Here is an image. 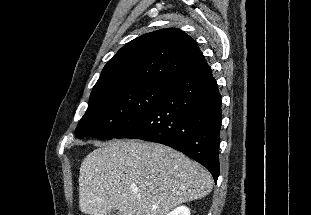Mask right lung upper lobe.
I'll list each match as a JSON object with an SVG mask.
<instances>
[{
	"instance_id": "cb5924a9",
	"label": "right lung upper lobe",
	"mask_w": 311,
	"mask_h": 215,
	"mask_svg": "<svg viewBox=\"0 0 311 215\" xmlns=\"http://www.w3.org/2000/svg\"><path fill=\"white\" fill-rule=\"evenodd\" d=\"M205 65L197 43L182 30L153 31L127 43L106 63L91 94L120 85L169 84Z\"/></svg>"
}]
</instances>
